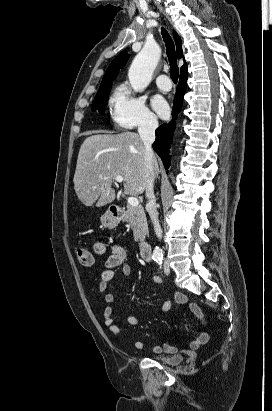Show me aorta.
Here are the masks:
<instances>
[{"label": "aorta", "instance_id": "762f6f07", "mask_svg": "<svg viewBox=\"0 0 272 411\" xmlns=\"http://www.w3.org/2000/svg\"><path fill=\"white\" fill-rule=\"evenodd\" d=\"M161 50L157 45L145 46L134 58L128 78L135 91H143L151 81L153 72L160 59ZM153 260H162V250L156 246L152 253Z\"/></svg>", "mask_w": 272, "mask_h": 411}]
</instances>
